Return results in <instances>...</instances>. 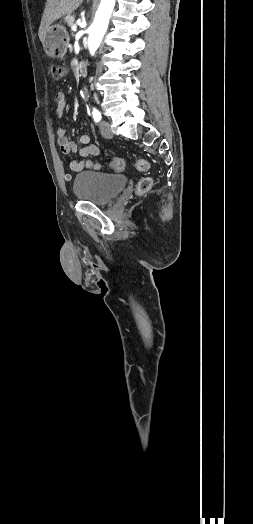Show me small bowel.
Instances as JSON below:
<instances>
[{
    "label": "small bowel",
    "mask_w": 253,
    "mask_h": 524,
    "mask_svg": "<svg viewBox=\"0 0 253 524\" xmlns=\"http://www.w3.org/2000/svg\"><path fill=\"white\" fill-rule=\"evenodd\" d=\"M56 103V115L60 118L62 117L67 105L66 97L63 93L59 92L56 94ZM57 136L60 150L64 156L68 157L70 153H75L78 151L77 145L67 138L66 130L64 127H58ZM79 140L82 144V147L79 150V154L81 157L86 158L89 156H95L99 154V149L90 142V138L88 135H81ZM68 164L72 171L78 172L83 169V162L81 160L69 159Z\"/></svg>",
    "instance_id": "c3829d8e"
}]
</instances>
